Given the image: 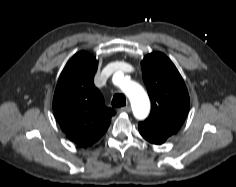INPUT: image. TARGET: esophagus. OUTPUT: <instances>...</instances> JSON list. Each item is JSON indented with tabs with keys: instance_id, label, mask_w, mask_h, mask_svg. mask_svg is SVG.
Segmentation results:
<instances>
[{
	"instance_id": "1",
	"label": "esophagus",
	"mask_w": 236,
	"mask_h": 187,
	"mask_svg": "<svg viewBox=\"0 0 236 187\" xmlns=\"http://www.w3.org/2000/svg\"><path fill=\"white\" fill-rule=\"evenodd\" d=\"M120 112H130L131 107L130 106H125L119 109Z\"/></svg>"
}]
</instances>
